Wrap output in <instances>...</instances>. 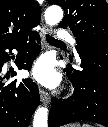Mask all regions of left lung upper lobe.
<instances>
[{"label": "left lung upper lobe", "mask_w": 108, "mask_h": 127, "mask_svg": "<svg viewBox=\"0 0 108 127\" xmlns=\"http://www.w3.org/2000/svg\"><path fill=\"white\" fill-rule=\"evenodd\" d=\"M65 12L60 27L72 30L77 52L108 46V4L105 0H48Z\"/></svg>", "instance_id": "obj_1"}]
</instances>
